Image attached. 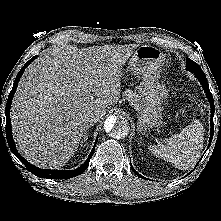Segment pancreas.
Returning <instances> with one entry per match:
<instances>
[{
    "mask_svg": "<svg viewBox=\"0 0 221 221\" xmlns=\"http://www.w3.org/2000/svg\"><path fill=\"white\" fill-rule=\"evenodd\" d=\"M124 96L128 100L129 104L136 110L140 107V96L136 92L131 89H127L124 92Z\"/></svg>",
    "mask_w": 221,
    "mask_h": 221,
    "instance_id": "obj_1",
    "label": "pancreas"
}]
</instances>
